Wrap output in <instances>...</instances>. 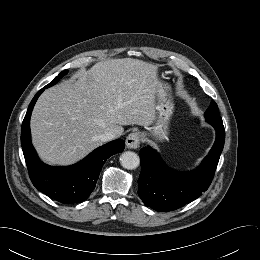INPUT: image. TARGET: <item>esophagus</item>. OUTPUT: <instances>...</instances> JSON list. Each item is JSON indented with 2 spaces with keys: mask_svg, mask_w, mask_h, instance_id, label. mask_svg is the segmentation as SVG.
I'll use <instances>...</instances> for the list:
<instances>
[{
  "mask_svg": "<svg viewBox=\"0 0 260 260\" xmlns=\"http://www.w3.org/2000/svg\"><path fill=\"white\" fill-rule=\"evenodd\" d=\"M142 135L139 132H132L126 138V146L128 149H137L140 146Z\"/></svg>",
  "mask_w": 260,
  "mask_h": 260,
  "instance_id": "1",
  "label": "esophagus"
}]
</instances>
